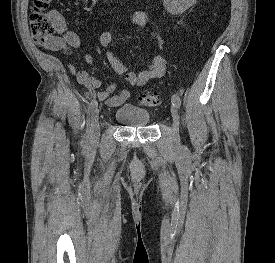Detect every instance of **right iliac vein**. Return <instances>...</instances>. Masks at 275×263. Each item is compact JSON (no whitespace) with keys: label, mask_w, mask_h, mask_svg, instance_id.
Wrapping results in <instances>:
<instances>
[{"label":"right iliac vein","mask_w":275,"mask_h":263,"mask_svg":"<svg viewBox=\"0 0 275 263\" xmlns=\"http://www.w3.org/2000/svg\"><path fill=\"white\" fill-rule=\"evenodd\" d=\"M99 136H100L99 110L96 108L92 119L91 142L96 143L99 139Z\"/></svg>","instance_id":"right-iliac-vein-1"}]
</instances>
